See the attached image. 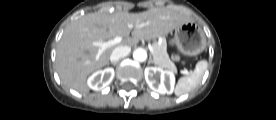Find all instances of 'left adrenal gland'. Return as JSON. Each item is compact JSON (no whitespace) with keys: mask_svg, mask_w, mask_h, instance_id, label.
I'll use <instances>...</instances> for the list:
<instances>
[{"mask_svg":"<svg viewBox=\"0 0 276 120\" xmlns=\"http://www.w3.org/2000/svg\"><path fill=\"white\" fill-rule=\"evenodd\" d=\"M148 63H155L154 61H153V59H152V56L150 55L149 56V62Z\"/></svg>","mask_w":276,"mask_h":120,"instance_id":"a2214340","label":"left adrenal gland"}]
</instances>
